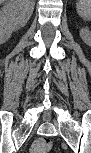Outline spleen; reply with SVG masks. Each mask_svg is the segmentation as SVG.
I'll list each match as a JSON object with an SVG mask.
<instances>
[{
    "instance_id": "obj_1",
    "label": "spleen",
    "mask_w": 91,
    "mask_h": 153,
    "mask_svg": "<svg viewBox=\"0 0 91 153\" xmlns=\"http://www.w3.org/2000/svg\"><path fill=\"white\" fill-rule=\"evenodd\" d=\"M77 13L80 17L85 20L91 18V1L90 0H79L76 4Z\"/></svg>"
}]
</instances>
